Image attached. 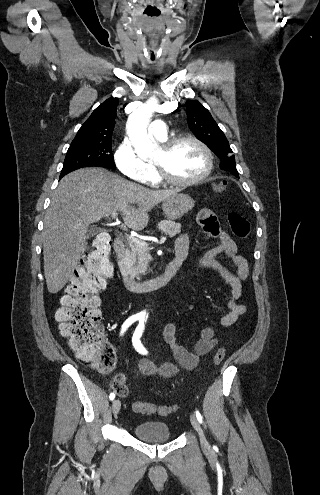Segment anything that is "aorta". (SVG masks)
<instances>
[{"mask_svg": "<svg viewBox=\"0 0 320 495\" xmlns=\"http://www.w3.org/2000/svg\"><path fill=\"white\" fill-rule=\"evenodd\" d=\"M159 110L156 100H149L130 114L127 121V133L135 152L140 157L156 156L159 149L149 137L147 126L155 112Z\"/></svg>", "mask_w": 320, "mask_h": 495, "instance_id": "aorta-1", "label": "aorta"}]
</instances>
